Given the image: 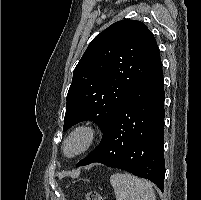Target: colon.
Here are the masks:
<instances>
[{
    "instance_id": "5ec220e1",
    "label": "colon",
    "mask_w": 201,
    "mask_h": 200,
    "mask_svg": "<svg viewBox=\"0 0 201 200\" xmlns=\"http://www.w3.org/2000/svg\"><path fill=\"white\" fill-rule=\"evenodd\" d=\"M84 200H104L100 193L89 191L84 195Z\"/></svg>"
}]
</instances>
